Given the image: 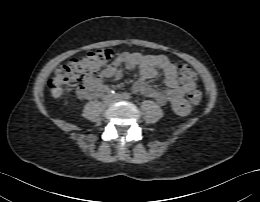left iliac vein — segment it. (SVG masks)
I'll return each instance as SVG.
<instances>
[{"mask_svg": "<svg viewBox=\"0 0 260 202\" xmlns=\"http://www.w3.org/2000/svg\"><path fill=\"white\" fill-rule=\"evenodd\" d=\"M114 99H115V100H122V99H125V97H124L122 94H116V95L114 96Z\"/></svg>", "mask_w": 260, "mask_h": 202, "instance_id": "1", "label": "left iliac vein"}]
</instances>
